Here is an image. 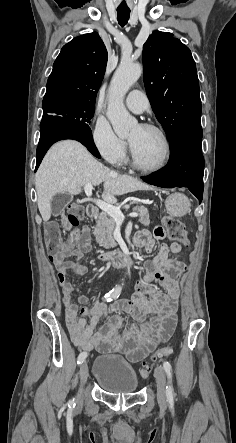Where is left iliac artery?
I'll use <instances>...</instances> for the list:
<instances>
[{"instance_id":"1","label":"left iliac artery","mask_w":236,"mask_h":443,"mask_svg":"<svg viewBox=\"0 0 236 443\" xmlns=\"http://www.w3.org/2000/svg\"><path fill=\"white\" fill-rule=\"evenodd\" d=\"M163 368L167 374L168 377V385L166 386V396L170 403L174 400V389L172 386V367L171 364L168 361H165L163 363Z\"/></svg>"}]
</instances>
